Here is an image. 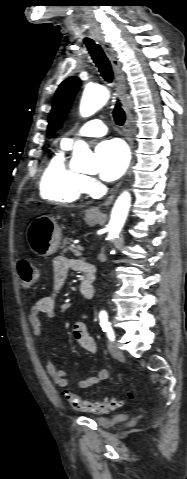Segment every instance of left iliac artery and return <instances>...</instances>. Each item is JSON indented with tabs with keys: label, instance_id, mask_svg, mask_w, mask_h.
Segmentation results:
<instances>
[{
	"label": "left iliac artery",
	"instance_id": "1",
	"mask_svg": "<svg viewBox=\"0 0 187 479\" xmlns=\"http://www.w3.org/2000/svg\"><path fill=\"white\" fill-rule=\"evenodd\" d=\"M100 319V325L103 329V331L107 334V337L109 340L114 341L115 340V334L112 329L111 323L108 321V316L107 314H101L99 315Z\"/></svg>",
	"mask_w": 187,
	"mask_h": 479
}]
</instances>
